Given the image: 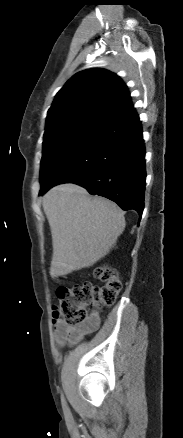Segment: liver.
I'll use <instances>...</instances> for the list:
<instances>
[{"label": "liver", "instance_id": "liver-1", "mask_svg": "<svg viewBox=\"0 0 183 438\" xmlns=\"http://www.w3.org/2000/svg\"><path fill=\"white\" fill-rule=\"evenodd\" d=\"M42 205L52 234V277L92 266L109 253L125 229L124 213L115 203L92 197L75 184L52 188Z\"/></svg>", "mask_w": 183, "mask_h": 438}]
</instances>
